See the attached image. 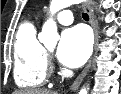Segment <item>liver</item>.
I'll list each match as a JSON object with an SVG mask.
<instances>
[{
    "mask_svg": "<svg viewBox=\"0 0 121 94\" xmlns=\"http://www.w3.org/2000/svg\"><path fill=\"white\" fill-rule=\"evenodd\" d=\"M14 94H58V92L51 90H22L17 91Z\"/></svg>",
    "mask_w": 121,
    "mask_h": 94,
    "instance_id": "1",
    "label": "liver"
}]
</instances>
